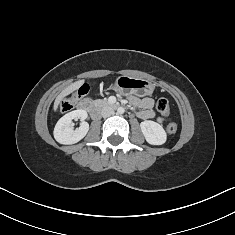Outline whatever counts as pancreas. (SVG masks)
Returning <instances> with one entry per match:
<instances>
[{
    "instance_id": "1",
    "label": "pancreas",
    "mask_w": 235,
    "mask_h": 235,
    "mask_svg": "<svg viewBox=\"0 0 235 235\" xmlns=\"http://www.w3.org/2000/svg\"><path fill=\"white\" fill-rule=\"evenodd\" d=\"M96 105H99V106H105V105H107L108 104V102H107V100H100V99H98V100H95V102H94Z\"/></svg>"
}]
</instances>
